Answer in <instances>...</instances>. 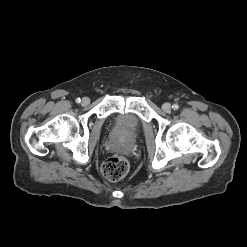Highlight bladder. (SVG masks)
Returning <instances> with one entry per match:
<instances>
[{"label": "bladder", "instance_id": "31cf9c89", "mask_svg": "<svg viewBox=\"0 0 247 247\" xmlns=\"http://www.w3.org/2000/svg\"><path fill=\"white\" fill-rule=\"evenodd\" d=\"M140 129V120L131 113L116 116L113 124V132L122 137L135 136Z\"/></svg>", "mask_w": 247, "mask_h": 247}]
</instances>
